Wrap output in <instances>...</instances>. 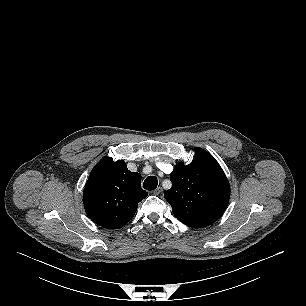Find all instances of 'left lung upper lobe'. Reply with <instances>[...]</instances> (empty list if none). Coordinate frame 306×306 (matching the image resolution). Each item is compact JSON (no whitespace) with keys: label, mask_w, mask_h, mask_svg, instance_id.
I'll return each instance as SVG.
<instances>
[{"label":"left lung upper lobe","mask_w":306,"mask_h":306,"mask_svg":"<svg viewBox=\"0 0 306 306\" xmlns=\"http://www.w3.org/2000/svg\"><path fill=\"white\" fill-rule=\"evenodd\" d=\"M171 189L164 193L173 213L192 228L214 223L226 209L230 197L229 182L212 155L196 148L193 161L179 163L170 174Z\"/></svg>","instance_id":"5c2ea615"}]
</instances>
